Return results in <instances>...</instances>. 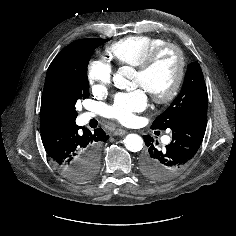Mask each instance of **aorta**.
Instances as JSON below:
<instances>
[{
	"label": "aorta",
	"instance_id": "aorta-1",
	"mask_svg": "<svg viewBox=\"0 0 236 236\" xmlns=\"http://www.w3.org/2000/svg\"><path fill=\"white\" fill-rule=\"evenodd\" d=\"M134 75L133 68L129 66L121 67L113 76V82L118 89H128L130 81ZM124 145L131 152H139L143 148V139L138 134H128L124 138Z\"/></svg>",
	"mask_w": 236,
	"mask_h": 236
}]
</instances>
